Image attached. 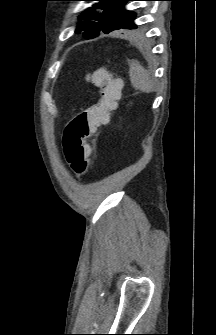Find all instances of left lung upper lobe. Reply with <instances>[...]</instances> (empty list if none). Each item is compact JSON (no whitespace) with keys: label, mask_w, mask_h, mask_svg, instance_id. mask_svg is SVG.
Segmentation results:
<instances>
[{"label":"left lung upper lobe","mask_w":216,"mask_h":335,"mask_svg":"<svg viewBox=\"0 0 216 335\" xmlns=\"http://www.w3.org/2000/svg\"><path fill=\"white\" fill-rule=\"evenodd\" d=\"M98 3L93 4L82 15L79 16L76 33L83 31L85 38H94L100 32L108 34L118 29H137L133 22L135 13L127 11L124 5L133 0H92Z\"/></svg>","instance_id":"5c2ea615"}]
</instances>
